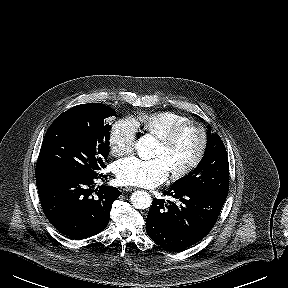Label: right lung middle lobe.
Wrapping results in <instances>:
<instances>
[{"label": "right lung middle lobe", "instance_id": "right-lung-middle-lobe-1", "mask_svg": "<svg viewBox=\"0 0 288 288\" xmlns=\"http://www.w3.org/2000/svg\"><path fill=\"white\" fill-rule=\"evenodd\" d=\"M116 116L104 104L88 103L70 108L49 127L44 137L36 177L66 174L94 178L106 167L110 126L106 119Z\"/></svg>", "mask_w": 288, "mask_h": 288}]
</instances>
